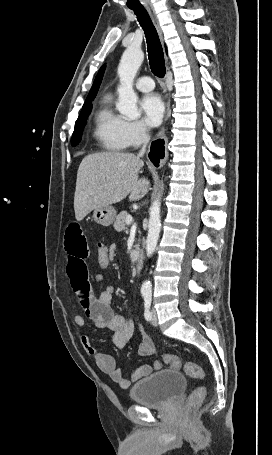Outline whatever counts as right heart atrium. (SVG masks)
<instances>
[{
  "label": "right heart atrium",
  "instance_id": "right-heart-atrium-1",
  "mask_svg": "<svg viewBox=\"0 0 272 455\" xmlns=\"http://www.w3.org/2000/svg\"><path fill=\"white\" fill-rule=\"evenodd\" d=\"M123 135L129 147H138L149 137L148 130L141 121L124 120Z\"/></svg>",
  "mask_w": 272,
  "mask_h": 455
}]
</instances>
